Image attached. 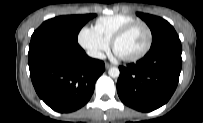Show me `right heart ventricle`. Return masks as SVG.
Returning <instances> with one entry per match:
<instances>
[{"label":"right heart ventricle","instance_id":"e07e8e85","mask_svg":"<svg viewBox=\"0 0 203 123\" xmlns=\"http://www.w3.org/2000/svg\"><path fill=\"white\" fill-rule=\"evenodd\" d=\"M135 21L138 19L131 15L114 14L98 18L94 28L104 39L110 42L121 28Z\"/></svg>","mask_w":203,"mask_h":123}]
</instances>
